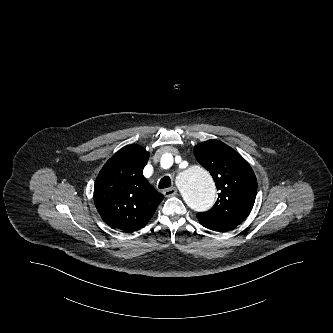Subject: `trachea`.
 <instances>
[{
	"instance_id": "1",
	"label": "trachea",
	"mask_w": 333,
	"mask_h": 333,
	"mask_svg": "<svg viewBox=\"0 0 333 333\" xmlns=\"http://www.w3.org/2000/svg\"><path fill=\"white\" fill-rule=\"evenodd\" d=\"M170 186H171V179L168 176L163 177L158 185L160 189L168 188Z\"/></svg>"
}]
</instances>
